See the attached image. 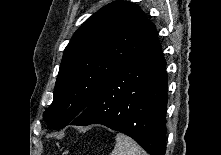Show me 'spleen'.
<instances>
[{
	"label": "spleen",
	"mask_w": 221,
	"mask_h": 155,
	"mask_svg": "<svg viewBox=\"0 0 221 155\" xmlns=\"http://www.w3.org/2000/svg\"><path fill=\"white\" fill-rule=\"evenodd\" d=\"M110 155H147V153L129 136L116 135V144Z\"/></svg>",
	"instance_id": "spleen-1"
}]
</instances>
